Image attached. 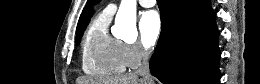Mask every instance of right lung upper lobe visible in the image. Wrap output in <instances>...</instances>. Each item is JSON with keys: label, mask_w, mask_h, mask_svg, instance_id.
<instances>
[{"label": "right lung upper lobe", "mask_w": 260, "mask_h": 84, "mask_svg": "<svg viewBox=\"0 0 260 84\" xmlns=\"http://www.w3.org/2000/svg\"><path fill=\"white\" fill-rule=\"evenodd\" d=\"M91 15V11L90 10H84L83 13L80 16L78 25H77V33L84 31V29L86 28L88 22H89V17Z\"/></svg>", "instance_id": "right-lung-upper-lobe-1"}]
</instances>
